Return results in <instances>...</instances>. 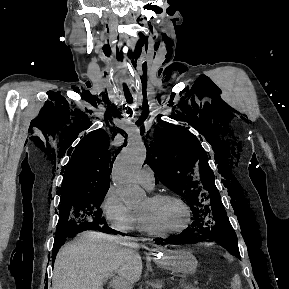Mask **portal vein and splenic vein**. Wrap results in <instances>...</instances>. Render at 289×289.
Returning <instances> with one entry per match:
<instances>
[{"instance_id": "1", "label": "portal vein and splenic vein", "mask_w": 289, "mask_h": 289, "mask_svg": "<svg viewBox=\"0 0 289 289\" xmlns=\"http://www.w3.org/2000/svg\"><path fill=\"white\" fill-rule=\"evenodd\" d=\"M112 278L110 281V286L114 289H130L125 282H123L120 278L116 277L115 274H111ZM190 285H183L184 288H188Z\"/></svg>"}]
</instances>
